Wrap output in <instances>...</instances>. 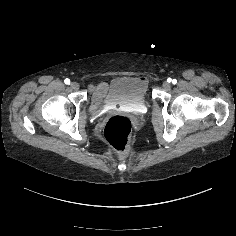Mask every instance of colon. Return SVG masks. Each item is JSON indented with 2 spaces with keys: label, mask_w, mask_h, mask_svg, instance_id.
Returning a JSON list of instances; mask_svg holds the SVG:
<instances>
[{
  "label": "colon",
  "mask_w": 236,
  "mask_h": 236,
  "mask_svg": "<svg viewBox=\"0 0 236 236\" xmlns=\"http://www.w3.org/2000/svg\"><path fill=\"white\" fill-rule=\"evenodd\" d=\"M133 131L132 121L125 115H114L105 124L104 137L121 157L127 155Z\"/></svg>",
  "instance_id": "obj_1"
}]
</instances>
